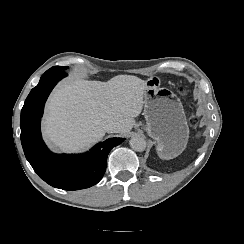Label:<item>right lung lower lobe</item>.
<instances>
[{"label": "right lung lower lobe", "mask_w": 244, "mask_h": 244, "mask_svg": "<svg viewBox=\"0 0 244 244\" xmlns=\"http://www.w3.org/2000/svg\"><path fill=\"white\" fill-rule=\"evenodd\" d=\"M65 76L64 70L52 67L29 93L21 110V143L27 160L45 182L64 190H79L101 180L110 150L125 138L107 139L82 155L54 154L47 149L40 132L44 104L51 90Z\"/></svg>", "instance_id": "1"}]
</instances>
